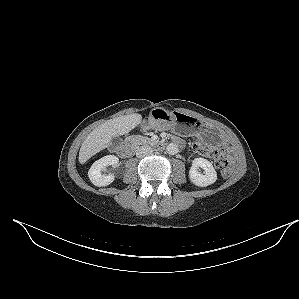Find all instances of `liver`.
Masks as SVG:
<instances>
[{"label": "liver", "instance_id": "6515ba94", "mask_svg": "<svg viewBox=\"0 0 299 299\" xmlns=\"http://www.w3.org/2000/svg\"><path fill=\"white\" fill-rule=\"evenodd\" d=\"M142 121L138 113L107 120L95 128L83 141L79 151L80 164L86 163L92 156L107 148L113 137L129 133Z\"/></svg>", "mask_w": 299, "mask_h": 299}]
</instances>
